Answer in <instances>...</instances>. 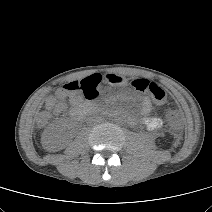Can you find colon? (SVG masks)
Instances as JSON below:
<instances>
[{"mask_svg":"<svg viewBox=\"0 0 212 212\" xmlns=\"http://www.w3.org/2000/svg\"><path fill=\"white\" fill-rule=\"evenodd\" d=\"M103 78L100 74H92L81 80H75L64 85V91L77 96H83L86 99H95L101 90ZM132 86L141 92H147L152 99L160 104H167L166 92L156 83L146 79H136L132 81ZM170 119L174 126H178L181 120V114L178 110L170 111ZM49 119L47 112H42L37 117V124L44 126Z\"/></svg>","mask_w":212,"mask_h":212,"instance_id":"5ec220e1","label":"colon"}]
</instances>
